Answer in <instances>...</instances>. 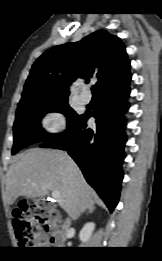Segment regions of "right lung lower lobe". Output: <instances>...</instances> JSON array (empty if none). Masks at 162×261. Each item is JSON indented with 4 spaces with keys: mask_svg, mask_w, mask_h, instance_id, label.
Instances as JSON below:
<instances>
[{
    "mask_svg": "<svg viewBox=\"0 0 162 261\" xmlns=\"http://www.w3.org/2000/svg\"><path fill=\"white\" fill-rule=\"evenodd\" d=\"M129 95V83L100 94L99 107L93 113L79 115L67 130L52 135L40 145L68 151L110 212L118 203L123 179L127 141L123 114L129 108L126 101ZM90 117L96 118V129L86 128Z\"/></svg>",
    "mask_w": 162,
    "mask_h": 261,
    "instance_id": "1",
    "label": "right lung lower lobe"
}]
</instances>
